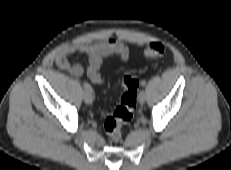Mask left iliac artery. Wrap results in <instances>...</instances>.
<instances>
[{
	"label": "left iliac artery",
	"mask_w": 231,
	"mask_h": 170,
	"mask_svg": "<svg viewBox=\"0 0 231 170\" xmlns=\"http://www.w3.org/2000/svg\"><path fill=\"white\" fill-rule=\"evenodd\" d=\"M142 86H145L146 85V81H142Z\"/></svg>",
	"instance_id": "1"
}]
</instances>
